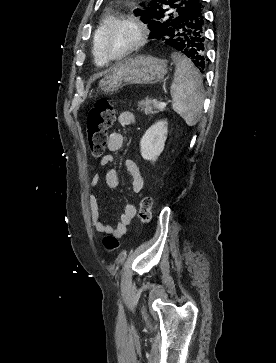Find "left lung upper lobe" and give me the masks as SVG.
I'll list each match as a JSON object with an SVG mask.
<instances>
[{
  "label": "left lung upper lobe",
  "mask_w": 276,
  "mask_h": 363,
  "mask_svg": "<svg viewBox=\"0 0 276 363\" xmlns=\"http://www.w3.org/2000/svg\"><path fill=\"white\" fill-rule=\"evenodd\" d=\"M187 1L188 0H152L148 3L146 10H135V13L141 15L143 22L148 24L151 31L150 38H154L158 32L167 30L168 24L176 17L179 10ZM165 6L168 8H165ZM171 9H175V12L171 13Z\"/></svg>",
  "instance_id": "left-lung-upper-lobe-1"
}]
</instances>
